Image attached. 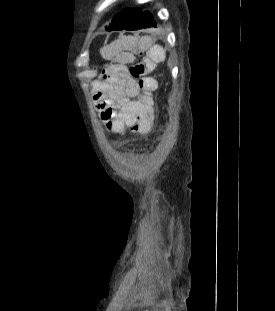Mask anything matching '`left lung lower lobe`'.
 Here are the masks:
<instances>
[{
  "instance_id": "left-lung-lower-lobe-1",
  "label": "left lung lower lobe",
  "mask_w": 275,
  "mask_h": 311,
  "mask_svg": "<svg viewBox=\"0 0 275 311\" xmlns=\"http://www.w3.org/2000/svg\"><path fill=\"white\" fill-rule=\"evenodd\" d=\"M156 27V23L149 12H141L137 19L128 25L125 30L135 31L146 28Z\"/></svg>"
}]
</instances>
